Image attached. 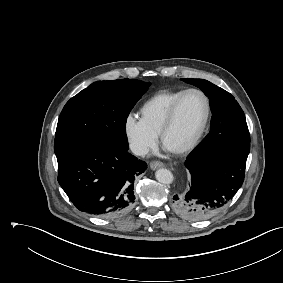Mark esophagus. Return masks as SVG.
<instances>
[{"label":"esophagus","instance_id":"34e87169","mask_svg":"<svg viewBox=\"0 0 283 283\" xmlns=\"http://www.w3.org/2000/svg\"><path fill=\"white\" fill-rule=\"evenodd\" d=\"M164 167V163L160 162V161H153L150 163V168L152 170H156L158 168Z\"/></svg>","mask_w":283,"mask_h":283}]
</instances>
